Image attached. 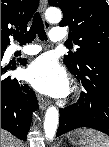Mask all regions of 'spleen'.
<instances>
[{
  "label": "spleen",
  "mask_w": 109,
  "mask_h": 147,
  "mask_svg": "<svg viewBox=\"0 0 109 147\" xmlns=\"http://www.w3.org/2000/svg\"><path fill=\"white\" fill-rule=\"evenodd\" d=\"M86 135L89 137L88 147H109V137L101 132L89 130Z\"/></svg>",
  "instance_id": "spleen-1"
}]
</instances>
